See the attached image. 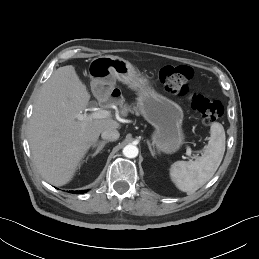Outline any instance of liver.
<instances>
[{"instance_id": "6515ba94", "label": "liver", "mask_w": 259, "mask_h": 259, "mask_svg": "<svg viewBox=\"0 0 259 259\" xmlns=\"http://www.w3.org/2000/svg\"><path fill=\"white\" fill-rule=\"evenodd\" d=\"M90 94L74 66L54 71L34 104L28 139L35 167L54 186L71 181L82 159L106 129H118L112 118L79 120ZM127 115V109L121 111Z\"/></svg>"}]
</instances>
